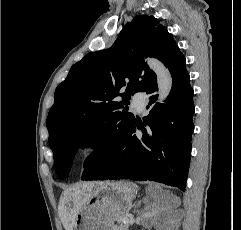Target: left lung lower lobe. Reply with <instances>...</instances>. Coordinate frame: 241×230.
I'll use <instances>...</instances> for the list:
<instances>
[{"mask_svg": "<svg viewBox=\"0 0 241 230\" xmlns=\"http://www.w3.org/2000/svg\"><path fill=\"white\" fill-rule=\"evenodd\" d=\"M168 69L173 83L166 103L156 102L155 82L145 91L153 108L143 124L134 120L120 137L95 147L84 162L82 180H150L185 191L194 131V92L182 53ZM136 128L142 136L134 134Z\"/></svg>", "mask_w": 241, "mask_h": 230, "instance_id": "1", "label": "left lung lower lobe"}]
</instances>
